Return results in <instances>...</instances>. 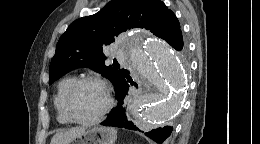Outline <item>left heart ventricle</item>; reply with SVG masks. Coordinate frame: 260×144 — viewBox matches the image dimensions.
<instances>
[{"mask_svg": "<svg viewBox=\"0 0 260 144\" xmlns=\"http://www.w3.org/2000/svg\"><path fill=\"white\" fill-rule=\"evenodd\" d=\"M104 102L100 87L86 83L81 85L72 96L70 111L78 119L93 118L101 111Z\"/></svg>", "mask_w": 260, "mask_h": 144, "instance_id": "1", "label": "left heart ventricle"}]
</instances>
